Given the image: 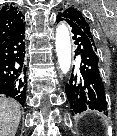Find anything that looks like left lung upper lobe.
<instances>
[{
	"label": "left lung upper lobe",
	"instance_id": "1",
	"mask_svg": "<svg viewBox=\"0 0 117 136\" xmlns=\"http://www.w3.org/2000/svg\"><path fill=\"white\" fill-rule=\"evenodd\" d=\"M59 13H62L65 16L66 21L69 23L72 29L73 28L78 29L81 32L87 34L90 40L92 41L95 49L97 50L93 30L90 26L88 19L84 16V14L80 10L74 7H66L64 9L61 8V12Z\"/></svg>",
	"mask_w": 117,
	"mask_h": 136
}]
</instances>
